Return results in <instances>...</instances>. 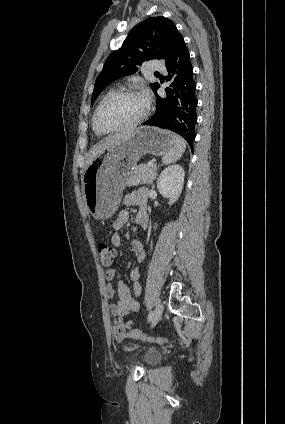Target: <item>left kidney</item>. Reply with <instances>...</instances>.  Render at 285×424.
<instances>
[{
	"instance_id": "left-kidney-1",
	"label": "left kidney",
	"mask_w": 285,
	"mask_h": 424,
	"mask_svg": "<svg viewBox=\"0 0 285 424\" xmlns=\"http://www.w3.org/2000/svg\"><path fill=\"white\" fill-rule=\"evenodd\" d=\"M184 170L180 165L165 168L158 177L157 188L160 194L169 199L168 204L175 203L183 189Z\"/></svg>"
}]
</instances>
